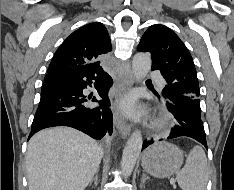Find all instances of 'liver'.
I'll return each mask as SVG.
<instances>
[{
  "label": "liver",
  "instance_id": "obj_1",
  "mask_svg": "<svg viewBox=\"0 0 234 190\" xmlns=\"http://www.w3.org/2000/svg\"><path fill=\"white\" fill-rule=\"evenodd\" d=\"M103 154L94 139L76 129L39 131L27 148L29 190H84L99 169Z\"/></svg>",
  "mask_w": 234,
  "mask_h": 190
}]
</instances>
